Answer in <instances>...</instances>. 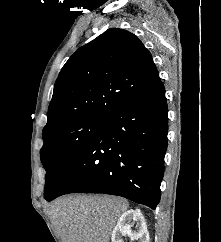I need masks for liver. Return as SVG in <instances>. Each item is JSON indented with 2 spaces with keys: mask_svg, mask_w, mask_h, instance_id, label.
I'll use <instances>...</instances> for the list:
<instances>
[{
  "mask_svg": "<svg viewBox=\"0 0 221 242\" xmlns=\"http://www.w3.org/2000/svg\"><path fill=\"white\" fill-rule=\"evenodd\" d=\"M128 207L120 197L76 195L55 200L49 216L61 242H109Z\"/></svg>",
  "mask_w": 221,
  "mask_h": 242,
  "instance_id": "obj_1",
  "label": "liver"
}]
</instances>
